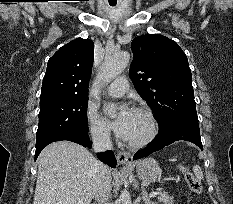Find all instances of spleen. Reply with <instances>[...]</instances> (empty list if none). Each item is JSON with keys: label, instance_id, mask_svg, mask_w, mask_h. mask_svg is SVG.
<instances>
[{"label": "spleen", "instance_id": "obj_1", "mask_svg": "<svg viewBox=\"0 0 233 204\" xmlns=\"http://www.w3.org/2000/svg\"><path fill=\"white\" fill-rule=\"evenodd\" d=\"M193 172H194L195 176L197 177V179H199V180L203 179V172H202V169L199 165L193 166Z\"/></svg>", "mask_w": 233, "mask_h": 204}]
</instances>
